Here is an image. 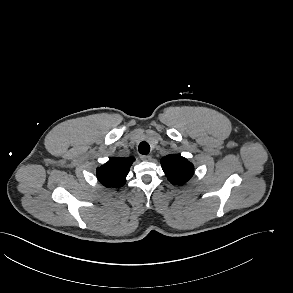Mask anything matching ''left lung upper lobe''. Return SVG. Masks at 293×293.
Returning a JSON list of instances; mask_svg holds the SVG:
<instances>
[{
  "instance_id": "obj_1",
  "label": "left lung upper lobe",
  "mask_w": 293,
  "mask_h": 293,
  "mask_svg": "<svg viewBox=\"0 0 293 293\" xmlns=\"http://www.w3.org/2000/svg\"><path fill=\"white\" fill-rule=\"evenodd\" d=\"M160 162L168 180L174 185L185 184L194 174L193 164L180 155H167Z\"/></svg>"
}]
</instances>
